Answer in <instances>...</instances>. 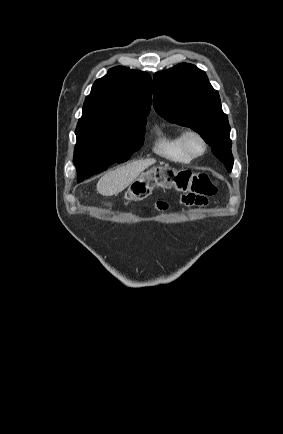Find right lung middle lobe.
<instances>
[{"label": "right lung middle lobe", "instance_id": "dd1d6c3e", "mask_svg": "<svg viewBox=\"0 0 283 434\" xmlns=\"http://www.w3.org/2000/svg\"><path fill=\"white\" fill-rule=\"evenodd\" d=\"M146 121L109 126H77L74 163L78 182L127 161L143 145Z\"/></svg>", "mask_w": 283, "mask_h": 434}]
</instances>
